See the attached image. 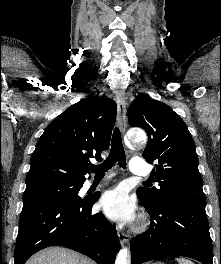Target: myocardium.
<instances>
[{"label":"myocardium","instance_id":"myocardium-1","mask_svg":"<svg viewBox=\"0 0 221 264\" xmlns=\"http://www.w3.org/2000/svg\"><path fill=\"white\" fill-rule=\"evenodd\" d=\"M147 224H148L147 217L145 215H142L140 217L139 228L143 229V228H145L147 226Z\"/></svg>","mask_w":221,"mask_h":264}]
</instances>
